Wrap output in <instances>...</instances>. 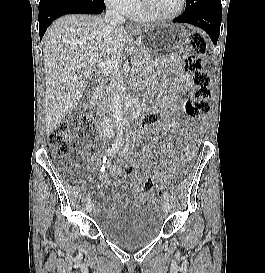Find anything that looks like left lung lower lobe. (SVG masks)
<instances>
[{"instance_id":"left-lung-lower-lobe-1","label":"left lung lower lobe","mask_w":265,"mask_h":273,"mask_svg":"<svg viewBox=\"0 0 265 273\" xmlns=\"http://www.w3.org/2000/svg\"><path fill=\"white\" fill-rule=\"evenodd\" d=\"M184 13L174 19L177 23H190L207 32L214 44L217 43L220 26L222 5L221 0H188Z\"/></svg>"}]
</instances>
